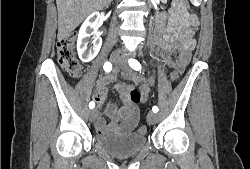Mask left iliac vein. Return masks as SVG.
I'll list each match as a JSON object with an SVG mask.
<instances>
[{
	"instance_id": "1",
	"label": "left iliac vein",
	"mask_w": 250,
	"mask_h": 169,
	"mask_svg": "<svg viewBox=\"0 0 250 169\" xmlns=\"http://www.w3.org/2000/svg\"><path fill=\"white\" fill-rule=\"evenodd\" d=\"M119 66H120V68H121L125 73L131 72V68L128 66L127 62H125V61H123V60H120ZM157 120H158L157 114H155L154 112L148 113V115H147V121H148L150 124L156 123Z\"/></svg>"
}]
</instances>
